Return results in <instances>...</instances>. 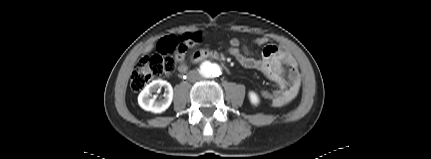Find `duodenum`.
Masks as SVG:
<instances>
[{"label": "duodenum", "mask_w": 431, "mask_h": 159, "mask_svg": "<svg viewBox=\"0 0 431 159\" xmlns=\"http://www.w3.org/2000/svg\"><path fill=\"white\" fill-rule=\"evenodd\" d=\"M209 57H211V58H217L218 59L219 55L217 53H215V52L205 51V50H199V51H196L192 55L191 59H192L193 62H197V61L203 60L205 58H209Z\"/></svg>", "instance_id": "410a0bca"}]
</instances>
